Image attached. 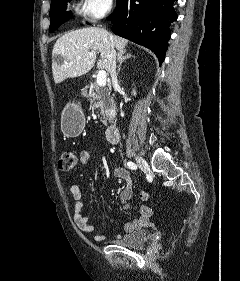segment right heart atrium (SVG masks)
<instances>
[{
  "instance_id": "obj_1",
  "label": "right heart atrium",
  "mask_w": 240,
  "mask_h": 281,
  "mask_svg": "<svg viewBox=\"0 0 240 281\" xmlns=\"http://www.w3.org/2000/svg\"><path fill=\"white\" fill-rule=\"evenodd\" d=\"M112 8L113 0H82L80 13L85 19L93 22L109 14Z\"/></svg>"
}]
</instances>
